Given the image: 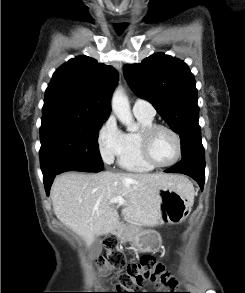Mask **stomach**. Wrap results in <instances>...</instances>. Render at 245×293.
<instances>
[{
	"label": "stomach",
	"instance_id": "0dacf381",
	"mask_svg": "<svg viewBox=\"0 0 245 293\" xmlns=\"http://www.w3.org/2000/svg\"><path fill=\"white\" fill-rule=\"evenodd\" d=\"M160 222L162 224L181 223L189 214L193 200L173 187H164L159 190ZM117 234L116 231H113ZM129 241L141 252H155L161 245V236L158 232L145 229L134 232Z\"/></svg>",
	"mask_w": 245,
	"mask_h": 293
}]
</instances>
